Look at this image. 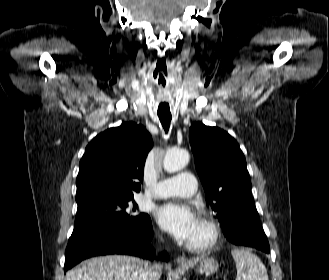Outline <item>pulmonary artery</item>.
<instances>
[{"label": "pulmonary artery", "instance_id": "obj_1", "mask_svg": "<svg viewBox=\"0 0 329 280\" xmlns=\"http://www.w3.org/2000/svg\"><path fill=\"white\" fill-rule=\"evenodd\" d=\"M196 192V179L190 172H182L173 177L162 179L149 191L152 197H189Z\"/></svg>", "mask_w": 329, "mask_h": 280}]
</instances>
